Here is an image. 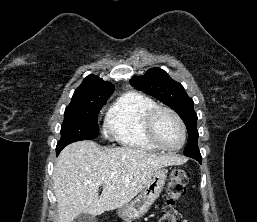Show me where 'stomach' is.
<instances>
[{
  "label": "stomach",
  "mask_w": 257,
  "mask_h": 222,
  "mask_svg": "<svg viewBox=\"0 0 257 222\" xmlns=\"http://www.w3.org/2000/svg\"><path fill=\"white\" fill-rule=\"evenodd\" d=\"M167 172L162 168L155 171L149 177L142 192L135 199L120 207L117 215L127 221L143 216L159 197L167 178Z\"/></svg>",
  "instance_id": "0dacf381"
}]
</instances>
